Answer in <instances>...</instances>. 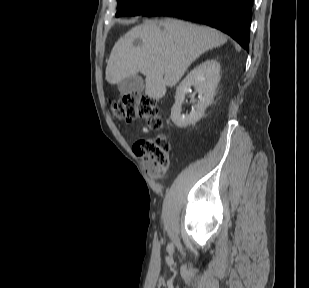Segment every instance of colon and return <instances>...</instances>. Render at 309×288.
<instances>
[{
    "label": "colon",
    "instance_id": "colon-1",
    "mask_svg": "<svg viewBox=\"0 0 309 288\" xmlns=\"http://www.w3.org/2000/svg\"><path fill=\"white\" fill-rule=\"evenodd\" d=\"M113 115L122 120L142 119L153 129H160L163 124L157 101L140 93H129L113 103ZM136 153L144 160L148 173L163 179L170 167V142L164 134L153 138L140 139L134 144Z\"/></svg>",
    "mask_w": 309,
    "mask_h": 288
}]
</instances>
